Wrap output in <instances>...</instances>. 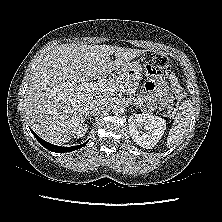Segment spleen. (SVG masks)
Here are the masks:
<instances>
[{
  "instance_id": "spleen-1",
  "label": "spleen",
  "mask_w": 222,
  "mask_h": 222,
  "mask_svg": "<svg viewBox=\"0 0 222 222\" xmlns=\"http://www.w3.org/2000/svg\"><path fill=\"white\" fill-rule=\"evenodd\" d=\"M192 117V105L190 101H185L180 106V111L174 119L172 128L167 138V147L171 148L180 143L187 132Z\"/></svg>"
}]
</instances>
